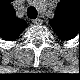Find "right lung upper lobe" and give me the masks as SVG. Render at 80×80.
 Masks as SVG:
<instances>
[{
  "label": "right lung upper lobe",
  "instance_id": "cb5924a9",
  "mask_svg": "<svg viewBox=\"0 0 80 80\" xmlns=\"http://www.w3.org/2000/svg\"><path fill=\"white\" fill-rule=\"evenodd\" d=\"M25 28V22L17 19L13 8L3 9L0 14V34L6 40H15Z\"/></svg>",
  "mask_w": 80,
  "mask_h": 80
}]
</instances>
